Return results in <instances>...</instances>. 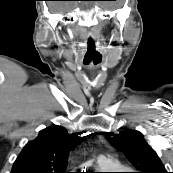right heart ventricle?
Segmentation results:
<instances>
[{"mask_svg": "<svg viewBox=\"0 0 173 173\" xmlns=\"http://www.w3.org/2000/svg\"><path fill=\"white\" fill-rule=\"evenodd\" d=\"M99 167L103 169H118L119 171H124L126 169L118 161L111 157H104L98 161Z\"/></svg>", "mask_w": 173, "mask_h": 173, "instance_id": "obj_1", "label": "right heart ventricle"}]
</instances>
